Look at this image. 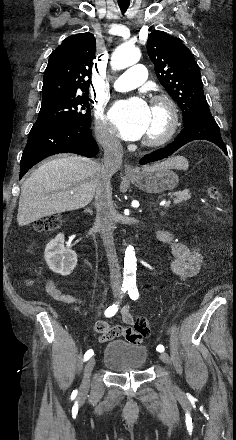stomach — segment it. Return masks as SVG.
<instances>
[{"label": "stomach", "instance_id": "0dacf381", "mask_svg": "<svg viewBox=\"0 0 236 440\" xmlns=\"http://www.w3.org/2000/svg\"><path fill=\"white\" fill-rule=\"evenodd\" d=\"M183 169L187 168V161H183ZM129 180L143 191L148 193H160L174 189L179 182L178 175L173 168L151 167L138 171L135 175L129 176Z\"/></svg>", "mask_w": 236, "mask_h": 440}]
</instances>
